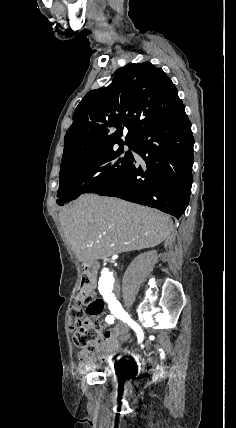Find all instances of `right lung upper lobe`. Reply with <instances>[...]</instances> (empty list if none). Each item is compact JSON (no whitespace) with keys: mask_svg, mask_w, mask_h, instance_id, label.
Masks as SVG:
<instances>
[{"mask_svg":"<svg viewBox=\"0 0 236 428\" xmlns=\"http://www.w3.org/2000/svg\"><path fill=\"white\" fill-rule=\"evenodd\" d=\"M181 105L177 89L162 69L150 62L122 67L111 86L89 91L76 107L60 168L123 141V129L128 130L125 141H133Z\"/></svg>","mask_w":236,"mask_h":428,"instance_id":"1","label":"right lung upper lobe"}]
</instances>
